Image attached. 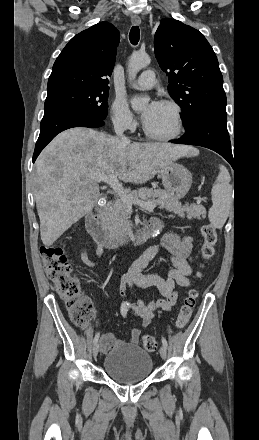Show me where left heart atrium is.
<instances>
[{"mask_svg":"<svg viewBox=\"0 0 259 440\" xmlns=\"http://www.w3.org/2000/svg\"><path fill=\"white\" fill-rule=\"evenodd\" d=\"M160 103L157 101H151L144 109L142 113V120L146 124L157 112Z\"/></svg>","mask_w":259,"mask_h":440,"instance_id":"obj_1","label":"left heart atrium"}]
</instances>
